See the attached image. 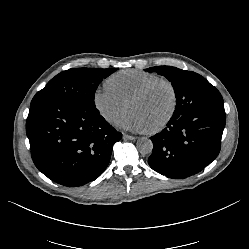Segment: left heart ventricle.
<instances>
[{"label":"left heart ventricle","mask_w":249,"mask_h":249,"mask_svg":"<svg viewBox=\"0 0 249 249\" xmlns=\"http://www.w3.org/2000/svg\"><path fill=\"white\" fill-rule=\"evenodd\" d=\"M172 95L166 85H159L146 96L132 101L129 111L137 112L148 129L156 127L170 112Z\"/></svg>","instance_id":"left-heart-ventricle-1"}]
</instances>
